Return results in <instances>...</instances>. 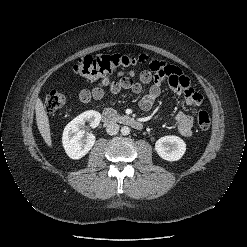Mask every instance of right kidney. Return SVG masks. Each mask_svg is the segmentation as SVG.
I'll list each match as a JSON object with an SVG mask.
<instances>
[{
	"label": "right kidney",
	"mask_w": 247,
	"mask_h": 247,
	"mask_svg": "<svg viewBox=\"0 0 247 247\" xmlns=\"http://www.w3.org/2000/svg\"><path fill=\"white\" fill-rule=\"evenodd\" d=\"M100 120L101 115L99 112L89 110L78 115L65 126L62 143L66 154L71 159H81L91 150L96 138L91 133L85 135L81 128L85 123H89L91 128H96Z\"/></svg>",
	"instance_id": "right-kidney-1"
}]
</instances>
